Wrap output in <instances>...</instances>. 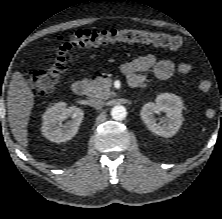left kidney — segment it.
<instances>
[{"label": "left kidney", "mask_w": 222, "mask_h": 219, "mask_svg": "<svg viewBox=\"0 0 222 219\" xmlns=\"http://www.w3.org/2000/svg\"><path fill=\"white\" fill-rule=\"evenodd\" d=\"M183 103L179 96L172 93H161L156 103L149 102L142 107L141 118L148 129L162 137H172L182 125ZM164 112L165 117L157 119L155 114Z\"/></svg>", "instance_id": "5707ae66"}]
</instances>
